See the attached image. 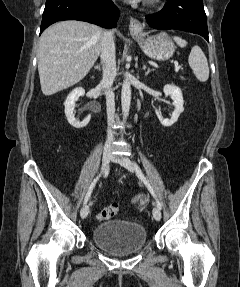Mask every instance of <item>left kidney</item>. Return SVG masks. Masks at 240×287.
<instances>
[{
    "label": "left kidney",
    "mask_w": 240,
    "mask_h": 287,
    "mask_svg": "<svg viewBox=\"0 0 240 287\" xmlns=\"http://www.w3.org/2000/svg\"><path fill=\"white\" fill-rule=\"evenodd\" d=\"M163 91L165 96H170L172 98L174 111L172 112L170 119L163 118L157 110H155V113L163 126L170 127L178 120L180 114L184 111V101L181 89L175 85L167 84L164 86Z\"/></svg>",
    "instance_id": "obj_1"
}]
</instances>
